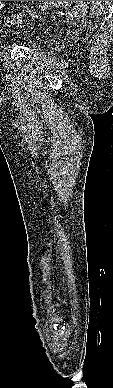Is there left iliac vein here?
I'll return each mask as SVG.
<instances>
[{
	"label": "left iliac vein",
	"mask_w": 113,
	"mask_h": 388,
	"mask_svg": "<svg viewBox=\"0 0 113 388\" xmlns=\"http://www.w3.org/2000/svg\"><path fill=\"white\" fill-rule=\"evenodd\" d=\"M49 1H43V10L47 7Z\"/></svg>",
	"instance_id": "1"
}]
</instances>
